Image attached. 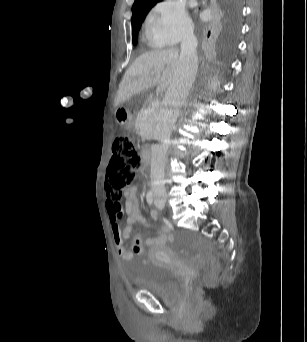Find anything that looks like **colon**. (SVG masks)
Listing matches in <instances>:
<instances>
[{
    "label": "colon",
    "mask_w": 307,
    "mask_h": 342,
    "mask_svg": "<svg viewBox=\"0 0 307 342\" xmlns=\"http://www.w3.org/2000/svg\"><path fill=\"white\" fill-rule=\"evenodd\" d=\"M140 165L141 160L133 141L126 136L119 137L113 145L112 158L106 173V193L111 199V207L120 205L124 189L132 182ZM134 239V254L139 256L141 243L137 236ZM178 250L181 252L183 249L180 247ZM198 294L199 289L193 288L189 300L195 301Z\"/></svg>",
    "instance_id": "obj_1"
}]
</instances>
